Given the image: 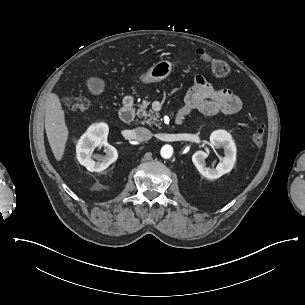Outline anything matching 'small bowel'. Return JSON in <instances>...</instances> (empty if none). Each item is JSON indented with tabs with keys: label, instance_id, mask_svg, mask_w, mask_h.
<instances>
[{
	"label": "small bowel",
	"instance_id": "obj_1",
	"mask_svg": "<svg viewBox=\"0 0 305 305\" xmlns=\"http://www.w3.org/2000/svg\"><path fill=\"white\" fill-rule=\"evenodd\" d=\"M241 109L239 97L229 89L214 88L202 75H196L179 114L187 116L198 110L207 116L234 114Z\"/></svg>",
	"mask_w": 305,
	"mask_h": 305
}]
</instances>
